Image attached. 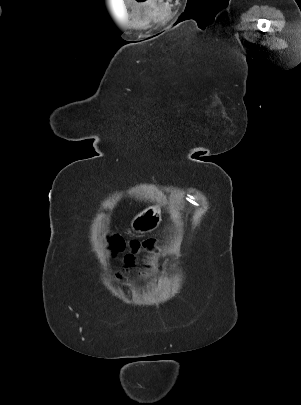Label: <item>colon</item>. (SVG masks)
<instances>
[{
  "label": "colon",
  "mask_w": 301,
  "mask_h": 405,
  "mask_svg": "<svg viewBox=\"0 0 301 405\" xmlns=\"http://www.w3.org/2000/svg\"><path fill=\"white\" fill-rule=\"evenodd\" d=\"M153 239V238H152ZM109 242L111 250L114 254L120 253L128 249L131 253H136L140 249H152L154 247L153 240H146L144 242H139L136 240H132L129 242H125L120 236L118 235H111L109 236Z\"/></svg>",
  "instance_id": "5ec220e1"
}]
</instances>
